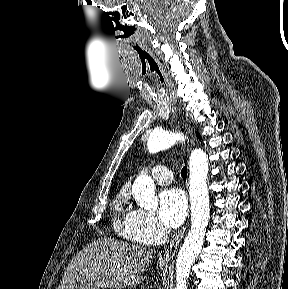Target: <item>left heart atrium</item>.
Masks as SVG:
<instances>
[{"label":"left heart atrium","mask_w":288,"mask_h":289,"mask_svg":"<svg viewBox=\"0 0 288 289\" xmlns=\"http://www.w3.org/2000/svg\"><path fill=\"white\" fill-rule=\"evenodd\" d=\"M158 201L160 221L168 227H178L183 222L187 211L184 193L178 188H169L160 193Z\"/></svg>","instance_id":"left-heart-atrium-1"}]
</instances>
